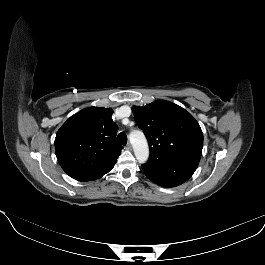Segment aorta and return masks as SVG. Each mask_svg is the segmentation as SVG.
<instances>
[{"instance_id": "762f6f07", "label": "aorta", "mask_w": 265, "mask_h": 265, "mask_svg": "<svg viewBox=\"0 0 265 265\" xmlns=\"http://www.w3.org/2000/svg\"><path fill=\"white\" fill-rule=\"evenodd\" d=\"M129 138L138 162L145 163L149 157V148L143 132L132 131Z\"/></svg>"}]
</instances>
